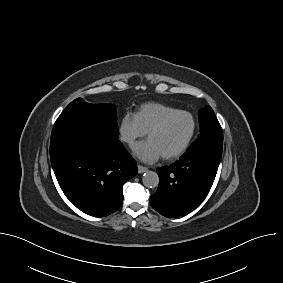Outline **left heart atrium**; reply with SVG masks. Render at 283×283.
<instances>
[{"instance_id": "obj_1", "label": "left heart atrium", "mask_w": 283, "mask_h": 283, "mask_svg": "<svg viewBox=\"0 0 283 283\" xmlns=\"http://www.w3.org/2000/svg\"><path fill=\"white\" fill-rule=\"evenodd\" d=\"M133 154L139 160L146 163H154L162 156L159 148L149 139L135 146Z\"/></svg>"}]
</instances>
